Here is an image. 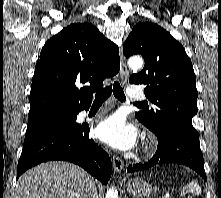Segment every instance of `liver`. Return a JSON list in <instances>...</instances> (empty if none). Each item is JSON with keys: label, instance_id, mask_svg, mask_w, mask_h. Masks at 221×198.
<instances>
[{"label": "liver", "instance_id": "1", "mask_svg": "<svg viewBox=\"0 0 221 198\" xmlns=\"http://www.w3.org/2000/svg\"><path fill=\"white\" fill-rule=\"evenodd\" d=\"M91 184V176L81 167L62 161L47 162L19 178L14 198H87Z\"/></svg>", "mask_w": 221, "mask_h": 198}]
</instances>
